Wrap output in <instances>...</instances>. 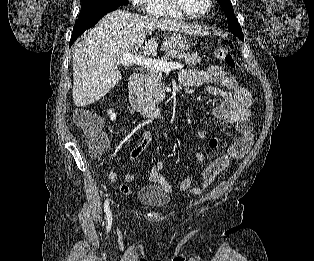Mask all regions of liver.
Returning a JSON list of instances; mask_svg holds the SVG:
<instances>
[{
    "label": "liver",
    "mask_w": 314,
    "mask_h": 261,
    "mask_svg": "<svg viewBox=\"0 0 314 261\" xmlns=\"http://www.w3.org/2000/svg\"><path fill=\"white\" fill-rule=\"evenodd\" d=\"M155 30L196 33L194 27L178 21L151 19L124 10L105 15L73 47L74 104L77 107L92 104L114 88L122 78L117 65L123 55L139 48L144 55L155 52L157 42L145 41Z\"/></svg>",
    "instance_id": "6515ba94"
}]
</instances>
